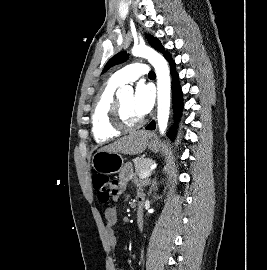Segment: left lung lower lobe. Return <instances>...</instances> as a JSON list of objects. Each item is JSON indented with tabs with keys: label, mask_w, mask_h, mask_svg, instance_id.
<instances>
[{
	"label": "left lung lower lobe",
	"mask_w": 267,
	"mask_h": 270,
	"mask_svg": "<svg viewBox=\"0 0 267 270\" xmlns=\"http://www.w3.org/2000/svg\"><path fill=\"white\" fill-rule=\"evenodd\" d=\"M164 57L167 59V61L170 63L171 66V73L173 75L172 80V91H173V103H174V112H175V118L178 120L180 117V114L182 112V90L179 85L178 81V75L175 72V64L174 61L170 58V55L167 51L163 53ZM147 130H154L155 129V122L152 121L149 125L146 126ZM168 136L171 140H173L176 136V126L174 129L170 130L168 133Z\"/></svg>",
	"instance_id": "1"
}]
</instances>
